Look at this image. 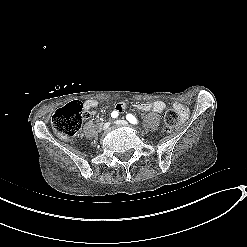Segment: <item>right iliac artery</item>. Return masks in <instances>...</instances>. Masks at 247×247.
Segmentation results:
<instances>
[{
    "instance_id": "1",
    "label": "right iliac artery",
    "mask_w": 247,
    "mask_h": 247,
    "mask_svg": "<svg viewBox=\"0 0 247 247\" xmlns=\"http://www.w3.org/2000/svg\"><path fill=\"white\" fill-rule=\"evenodd\" d=\"M111 117H112V118H117V117H118V112H117V111H113V112L111 113Z\"/></svg>"
}]
</instances>
